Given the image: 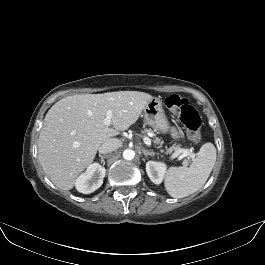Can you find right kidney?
Listing matches in <instances>:
<instances>
[{
  "label": "right kidney",
  "instance_id": "1",
  "mask_svg": "<svg viewBox=\"0 0 265 265\" xmlns=\"http://www.w3.org/2000/svg\"><path fill=\"white\" fill-rule=\"evenodd\" d=\"M105 173V168L100 164H91L87 167L86 172L77 178L75 182L76 189L83 194L96 191L103 184Z\"/></svg>",
  "mask_w": 265,
  "mask_h": 265
}]
</instances>
